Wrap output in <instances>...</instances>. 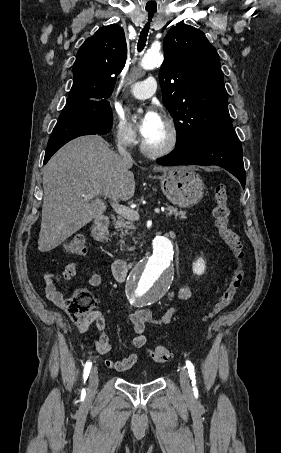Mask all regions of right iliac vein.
I'll return each instance as SVG.
<instances>
[{
	"label": "right iliac vein",
	"instance_id": "63e3f726",
	"mask_svg": "<svg viewBox=\"0 0 281 453\" xmlns=\"http://www.w3.org/2000/svg\"><path fill=\"white\" fill-rule=\"evenodd\" d=\"M97 374H98V371L96 369H93L91 371V374L89 375V380H90L89 391L91 393H94L96 391L97 387H98L97 384H98L99 380H98V375Z\"/></svg>",
	"mask_w": 281,
	"mask_h": 453
}]
</instances>
